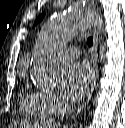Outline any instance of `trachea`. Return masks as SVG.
<instances>
[{
	"instance_id": "3493384b",
	"label": "trachea",
	"mask_w": 125,
	"mask_h": 128,
	"mask_svg": "<svg viewBox=\"0 0 125 128\" xmlns=\"http://www.w3.org/2000/svg\"><path fill=\"white\" fill-rule=\"evenodd\" d=\"M87 44H88L89 47H91L93 45V38L92 37H89L87 39Z\"/></svg>"
}]
</instances>
